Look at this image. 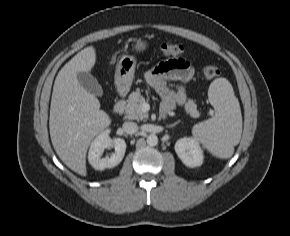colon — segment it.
I'll use <instances>...</instances> for the list:
<instances>
[{"instance_id":"1","label":"colon","mask_w":290,"mask_h":236,"mask_svg":"<svg viewBox=\"0 0 290 236\" xmlns=\"http://www.w3.org/2000/svg\"><path fill=\"white\" fill-rule=\"evenodd\" d=\"M183 52V46L179 43H165L161 46V53L165 57H176ZM203 73L207 78H215L219 76L220 70L215 65H206L203 68Z\"/></svg>"}]
</instances>
